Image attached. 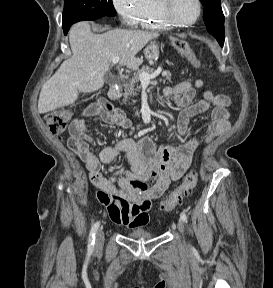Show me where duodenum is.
<instances>
[{"instance_id": "1", "label": "duodenum", "mask_w": 273, "mask_h": 288, "mask_svg": "<svg viewBox=\"0 0 273 288\" xmlns=\"http://www.w3.org/2000/svg\"><path fill=\"white\" fill-rule=\"evenodd\" d=\"M119 95H120V90L119 88H116V87H112L110 90H109V98L112 100V101H115L119 98ZM102 104H104L103 102H101Z\"/></svg>"}]
</instances>
